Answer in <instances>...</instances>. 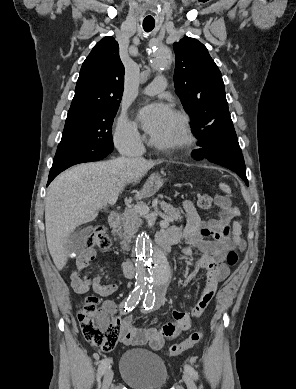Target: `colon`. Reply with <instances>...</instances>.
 I'll list each match as a JSON object with an SVG mask.
<instances>
[{"label": "colon", "instance_id": "1", "mask_svg": "<svg viewBox=\"0 0 296 389\" xmlns=\"http://www.w3.org/2000/svg\"><path fill=\"white\" fill-rule=\"evenodd\" d=\"M197 205L201 210H208L212 206V197L207 193H201L197 198ZM86 245L90 248L108 250L110 239L104 227H96L86 237ZM238 255L235 251H229L226 262L229 266L236 265ZM78 320L85 339L93 346L105 352L113 350L120 336V324L111 318L109 311L99 305L95 296H87L78 312ZM203 338L201 331L192 332L185 340L169 347L167 354L171 357L178 356L191 349Z\"/></svg>", "mask_w": 296, "mask_h": 389}]
</instances>
